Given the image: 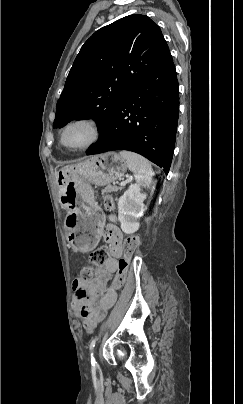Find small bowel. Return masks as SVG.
Returning a JSON list of instances; mask_svg holds the SVG:
<instances>
[{"instance_id": "small-bowel-1", "label": "small bowel", "mask_w": 243, "mask_h": 404, "mask_svg": "<svg viewBox=\"0 0 243 404\" xmlns=\"http://www.w3.org/2000/svg\"><path fill=\"white\" fill-rule=\"evenodd\" d=\"M104 239L110 244L114 258H110L99 268L95 279L89 282L76 280L73 283V308L82 318L87 332H93L99 323V317L105 316L117 299L116 291L109 286L110 276L118 269L115 257L121 255L122 233L116 227L107 226Z\"/></svg>"}]
</instances>
